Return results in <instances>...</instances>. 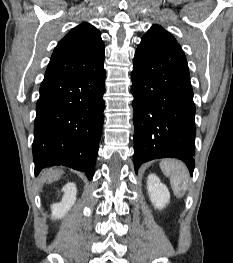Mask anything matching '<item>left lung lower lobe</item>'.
Instances as JSON below:
<instances>
[{
  "instance_id": "obj_1",
  "label": "left lung lower lobe",
  "mask_w": 233,
  "mask_h": 263,
  "mask_svg": "<svg viewBox=\"0 0 233 263\" xmlns=\"http://www.w3.org/2000/svg\"><path fill=\"white\" fill-rule=\"evenodd\" d=\"M134 167L152 159L195 166V105L189 68L180 45L141 41L132 71Z\"/></svg>"
}]
</instances>
